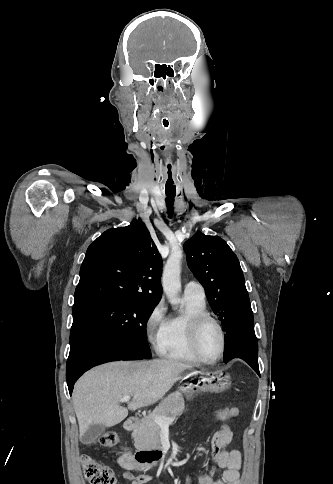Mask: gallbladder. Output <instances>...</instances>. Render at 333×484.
Listing matches in <instances>:
<instances>
[{
	"instance_id": "bac80fb5",
	"label": "gallbladder",
	"mask_w": 333,
	"mask_h": 484,
	"mask_svg": "<svg viewBox=\"0 0 333 484\" xmlns=\"http://www.w3.org/2000/svg\"><path fill=\"white\" fill-rule=\"evenodd\" d=\"M105 429L106 426L103 424H93L82 436L81 441L83 443H91L95 441L102 433H104Z\"/></svg>"
}]
</instances>
